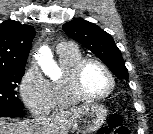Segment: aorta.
<instances>
[{"mask_svg": "<svg viewBox=\"0 0 153 134\" xmlns=\"http://www.w3.org/2000/svg\"><path fill=\"white\" fill-rule=\"evenodd\" d=\"M38 64L43 72L49 77H53L57 65L53 60V54L47 46H42L39 50Z\"/></svg>", "mask_w": 153, "mask_h": 134, "instance_id": "1", "label": "aorta"}]
</instances>
